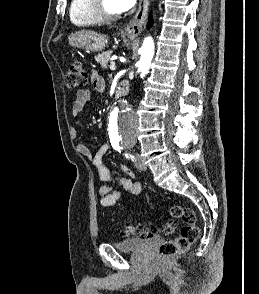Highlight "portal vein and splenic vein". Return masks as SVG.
<instances>
[{
    "mask_svg": "<svg viewBox=\"0 0 259 294\" xmlns=\"http://www.w3.org/2000/svg\"><path fill=\"white\" fill-rule=\"evenodd\" d=\"M110 69H111V70H115V69H116L115 64L112 63V64L110 65Z\"/></svg>",
    "mask_w": 259,
    "mask_h": 294,
    "instance_id": "18ae733b",
    "label": "portal vein and splenic vein"
}]
</instances>
